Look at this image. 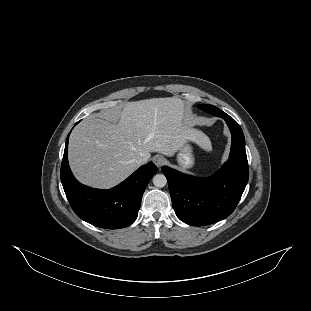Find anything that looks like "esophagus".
<instances>
[{
  "mask_svg": "<svg viewBox=\"0 0 311 311\" xmlns=\"http://www.w3.org/2000/svg\"><path fill=\"white\" fill-rule=\"evenodd\" d=\"M152 161L157 167H161L167 163V159L161 155H156L152 158Z\"/></svg>",
  "mask_w": 311,
  "mask_h": 311,
  "instance_id": "obj_1",
  "label": "esophagus"
}]
</instances>
